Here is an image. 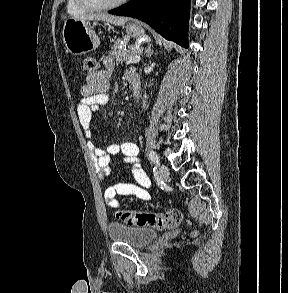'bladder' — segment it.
Instances as JSON below:
<instances>
[{
	"label": "bladder",
	"mask_w": 288,
	"mask_h": 293,
	"mask_svg": "<svg viewBox=\"0 0 288 293\" xmlns=\"http://www.w3.org/2000/svg\"><path fill=\"white\" fill-rule=\"evenodd\" d=\"M108 234L111 240L135 248L144 247L157 237V232L152 228L127 225L120 222L109 223Z\"/></svg>",
	"instance_id": "31cf9c89"
}]
</instances>
